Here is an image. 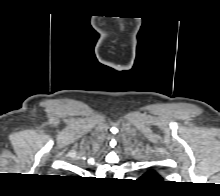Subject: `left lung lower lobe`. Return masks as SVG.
<instances>
[{
  "mask_svg": "<svg viewBox=\"0 0 220 196\" xmlns=\"http://www.w3.org/2000/svg\"><path fill=\"white\" fill-rule=\"evenodd\" d=\"M141 180L144 182H158L161 181V177L155 171L150 170L141 177Z\"/></svg>",
  "mask_w": 220,
  "mask_h": 196,
  "instance_id": "1",
  "label": "left lung lower lobe"
}]
</instances>
